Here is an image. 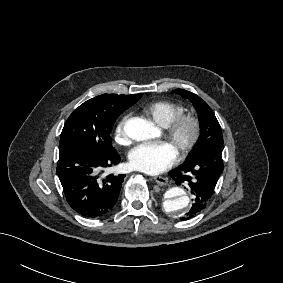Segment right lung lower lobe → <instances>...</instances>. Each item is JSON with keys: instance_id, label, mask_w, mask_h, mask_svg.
Instances as JSON below:
<instances>
[{"instance_id": "right-lung-lower-lobe-1", "label": "right lung lower lobe", "mask_w": 283, "mask_h": 283, "mask_svg": "<svg viewBox=\"0 0 283 283\" xmlns=\"http://www.w3.org/2000/svg\"><path fill=\"white\" fill-rule=\"evenodd\" d=\"M120 156L113 149L99 153L84 144L59 148L57 175L70 207L86 218H100L115 206L124 175L99 176L103 170L118 164Z\"/></svg>"}]
</instances>
